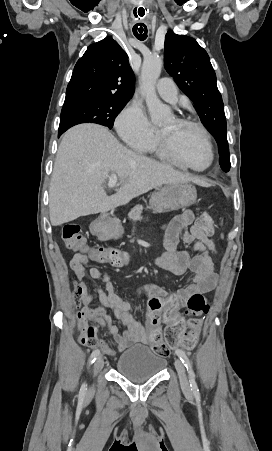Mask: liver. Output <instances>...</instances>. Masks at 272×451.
<instances>
[{"label":"liver","instance_id":"6515ba94","mask_svg":"<svg viewBox=\"0 0 272 451\" xmlns=\"http://www.w3.org/2000/svg\"><path fill=\"white\" fill-rule=\"evenodd\" d=\"M110 172L121 182L113 196L102 188ZM176 182L203 184L196 176L128 150L104 126L79 124L64 134L56 154L49 188L50 222L61 226L80 216L109 212L156 186Z\"/></svg>","mask_w":272,"mask_h":451}]
</instances>
